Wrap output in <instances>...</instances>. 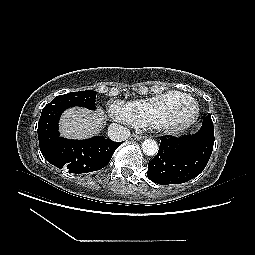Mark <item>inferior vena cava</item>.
Instances as JSON below:
<instances>
[{
	"instance_id": "obj_1",
	"label": "inferior vena cava",
	"mask_w": 255,
	"mask_h": 255,
	"mask_svg": "<svg viewBox=\"0 0 255 255\" xmlns=\"http://www.w3.org/2000/svg\"><path fill=\"white\" fill-rule=\"evenodd\" d=\"M130 130L119 124H110L108 127V137L115 142H122L128 139Z\"/></svg>"
}]
</instances>
